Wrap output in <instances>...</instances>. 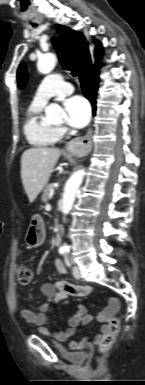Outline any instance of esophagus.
<instances>
[{"mask_svg": "<svg viewBox=\"0 0 145 385\" xmlns=\"http://www.w3.org/2000/svg\"><path fill=\"white\" fill-rule=\"evenodd\" d=\"M71 152L78 156L87 155L92 149V128L90 127L84 137L71 140L68 144Z\"/></svg>", "mask_w": 145, "mask_h": 385, "instance_id": "1", "label": "esophagus"}]
</instances>
